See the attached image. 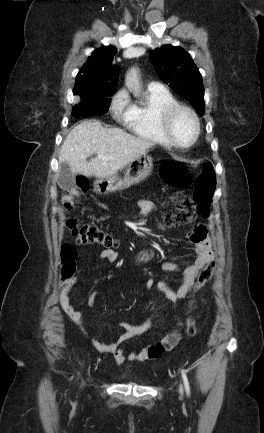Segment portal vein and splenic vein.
Segmentation results:
<instances>
[{
    "mask_svg": "<svg viewBox=\"0 0 264 433\" xmlns=\"http://www.w3.org/2000/svg\"><path fill=\"white\" fill-rule=\"evenodd\" d=\"M100 158L104 159L101 155H99Z\"/></svg>",
    "mask_w": 264,
    "mask_h": 433,
    "instance_id": "1",
    "label": "portal vein and splenic vein"
}]
</instances>
